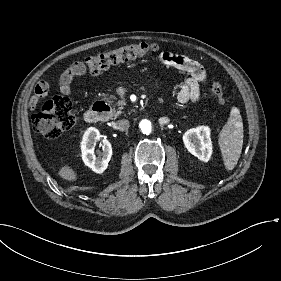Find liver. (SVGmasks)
Instances as JSON below:
<instances>
[{"mask_svg":"<svg viewBox=\"0 0 281 281\" xmlns=\"http://www.w3.org/2000/svg\"><path fill=\"white\" fill-rule=\"evenodd\" d=\"M57 175L68 182H76L78 180V173L68 163H64L57 172Z\"/></svg>","mask_w":281,"mask_h":281,"instance_id":"obj_1","label":"liver"}]
</instances>
